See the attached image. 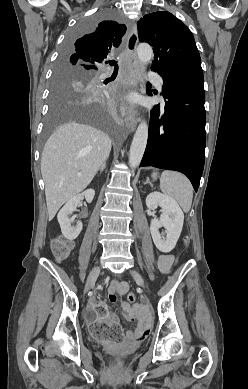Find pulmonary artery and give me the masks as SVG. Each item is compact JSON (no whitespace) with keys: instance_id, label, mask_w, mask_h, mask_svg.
<instances>
[{"instance_id":"e3ab8cb5","label":"pulmonary artery","mask_w":248,"mask_h":389,"mask_svg":"<svg viewBox=\"0 0 248 389\" xmlns=\"http://www.w3.org/2000/svg\"><path fill=\"white\" fill-rule=\"evenodd\" d=\"M152 80H153V82L156 84V86L158 87V89L161 90V89H162V83H163V80H162L161 76H159V75H154V76L152 77Z\"/></svg>"}]
</instances>
